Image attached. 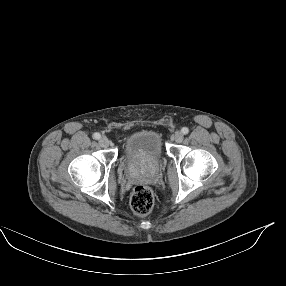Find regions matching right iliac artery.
I'll return each mask as SVG.
<instances>
[{
  "instance_id": "obj_1",
  "label": "right iliac artery",
  "mask_w": 286,
  "mask_h": 286,
  "mask_svg": "<svg viewBox=\"0 0 286 286\" xmlns=\"http://www.w3.org/2000/svg\"><path fill=\"white\" fill-rule=\"evenodd\" d=\"M93 138L96 139V140L100 139V134L99 133H94L93 134Z\"/></svg>"
}]
</instances>
